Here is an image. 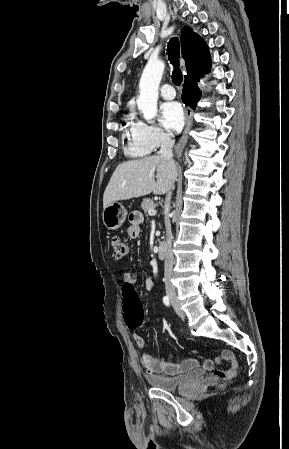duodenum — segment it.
<instances>
[{
  "label": "duodenum",
  "instance_id": "duodenum-1",
  "mask_svg": "<svg viewBox=\"0 0 289 449\" xmlns=\"http://www.w3.org/2000/svg\"><path fill=\"white\" fill-rule=\"evenodd\" d=\"M157 254L160 259H164L167 254V243L165 241H161L157 247Z\"/></svg>",
  "mask_w": 289,
  "mask_h": 449
}]
</instances>
